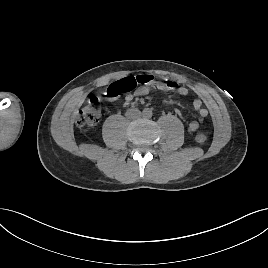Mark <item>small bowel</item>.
<instances>
[{
    "instance_id": "small-bowel-1",
    "label": "small bowel",
    "mask_w": 268,
    "mask_h": 268,
    "mask_svg": "<svg viewBox=\"0 0 268 268\" xmlns=\"http://www.w3.org/2000/svg\"><path fill=\"white\" fill-rule=\"evenodd\" d=\"M175 90L181 95L188 94V89L184 86H178ZM148 92V87L140 86L125 96V103L130 104L136 98L147 95ZM193 108L198 112L199 118L187 122V129L189 132H196L200 128L203 120L208 116V110L203 106V103L200 99H195L193 101ZM176 113L181 116L179 110H177Z\"/></svg>"
}]
</instances>
